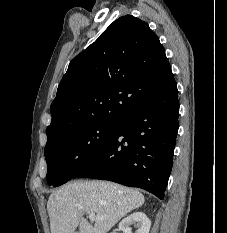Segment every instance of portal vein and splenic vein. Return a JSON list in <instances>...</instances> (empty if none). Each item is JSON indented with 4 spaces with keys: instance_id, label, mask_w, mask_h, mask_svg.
<instances>
[{
    "instance_id": "portal-vein-and-splenic-vein-1",
    "label": "portal vein and splenic vein",
    "mask_w": 227,
    "mask_h": 233,
    "mask_svg": "<svg viewBox=\"0 0 227 233\" xmlns=\"http://www.w3.org/2000/svg\"><path fill=\"white\" fill-rule=\"evenodd\" d=\"M89 219L92 220V221L95 220V219L102 220L103 217L96 216L94 213H89Z\"/></svg>"
}]
</instances>
